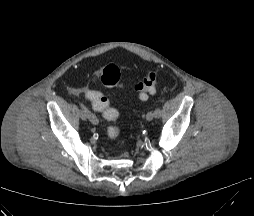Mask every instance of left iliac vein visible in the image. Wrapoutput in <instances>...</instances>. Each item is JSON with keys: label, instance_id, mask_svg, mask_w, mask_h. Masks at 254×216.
<instances>
[{"label": "left iliac vein", "instance_id": "4c4485c4", "mask_svg": "<svg viewBox=\"0 0 254 216\" xmlns=\"http://www.w3.org/2000/svg\"><path fill=\"white\" fill-rule=\"evenodd\" d=\"M153 118H154V112L153 111L148 112L146 115V120L151 121Z\"/></svg>", "mask_w": 254, "mask_h": 216}]
</instances>
